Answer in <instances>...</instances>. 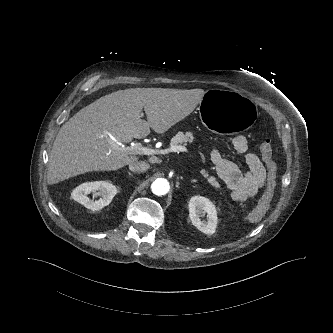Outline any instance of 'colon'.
<instances>
[{"mask_svg":"<svg viewBox=\"0 0 333 333\" xmlns=\"http://www.w3.org/2000/svg\"><path fill=\"white\" fill-rule=\"evenodd\" d=\"M272 144L269 140H264L259 147V154L267 167V184L263 197L258 206L249 213L250 222H258L262 219L271 205L276 187V165L272 159Z\"/></svg>","mask_w":333,"mask_h":333,"instance_id":"colon-1","label":"colon"}]
</instances>
